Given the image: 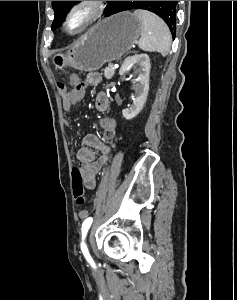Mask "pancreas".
Instances as JSON below:
<instances>
[{
  "mask_svg": "<svg viewBox=\"0 0 237 300\" xmlns=\"http://www.w3.org/2000/svg\"><path fill=\"white\" fill-rule=\"evenodd\" d=\"M112 66L114 67V65H112ZM113 67L111 69L109 67H106L105 73H104V77H106V79H111V77H113V75L115 73V69H113Z\"/></svg>",
  "mask_w": 237,
  "mask_h": 300,
  "instance_id": "obj_1",
  "label": "pancreas"
}]
</instances>
